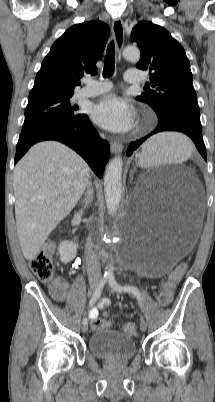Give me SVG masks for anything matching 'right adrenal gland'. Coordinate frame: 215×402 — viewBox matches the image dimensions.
Listing matches in <instances>:
<instances>
[{"mask_svg":"<svg viewBox=\"0 0 215 402\" xmlns=\"http://www.w3.org/2000/svg\"><path fill=\"white\" fill-rule=\"evenodd\" d=\"M80 204H81V205H83V204H84V202H81Z\"/></svg>","mask_w":215,"mask_h":402,"instance_id":"right-adrenal-gland-1","label":"right adrenal gland"}]
</instances>
